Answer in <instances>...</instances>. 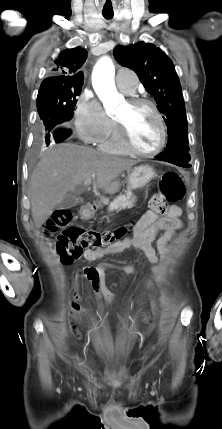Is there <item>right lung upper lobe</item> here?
Instances as JSON below:
<instances>
[{"label": "right lung upper lobe", "mask_w": 222, "mask_h": 429, "mask_svg": "<svg viewBox=\"0 0 222 429\" xmlns=\"http://www.w3.org/2000/svg\"><path fill=\"white\" fill-rule=\"evenodd\" d=\"M87 58V51L83 48H72L62 51L54 61L55 76L45 79L42 84H81L84 74L80 71Z\"/></svg>", "instance_id": "right-lung-upper-lobe-1"}]
</instances>
